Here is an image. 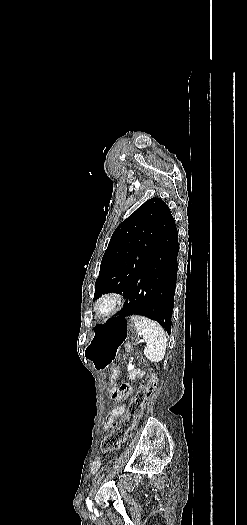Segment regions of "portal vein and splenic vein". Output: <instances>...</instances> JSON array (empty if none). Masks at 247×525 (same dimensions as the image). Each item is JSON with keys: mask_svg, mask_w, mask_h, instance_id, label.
Masks as SVG:
<instances>
[{"mask_svg": "<svg viewBox=\"0 0 247 525\" xmlns=\"http://www.w3.org/2000/svg\"><path fill=\"white\" fill-rule=\"evenodd\" d=\"M140 343H144V338H139Z\"/></svg>", "mask_w": 247, "mask_h": 525, "instance_id": "1", "label": "portal vein and splenic vein"}]
</instances>
